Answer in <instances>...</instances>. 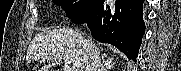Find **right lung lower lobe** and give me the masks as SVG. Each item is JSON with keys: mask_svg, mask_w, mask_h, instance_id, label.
Returning <instances> with one entry per match:
<instances>
[{"mask_svg": "<svg viewBox=\"0 0 181 71\" xmlns=\"http://www.w3.org/2000/svg\"><path fill=\"white\" fill-rule=\"evenodd\" d=\"M144 0H116L110 7L97 0L83 16L72 18L75 24L87 23L94 39L117 46L129 59L136 60L145 31L142 19Z\"/></svg>", "mask_w": 181, "mask_h": 71, "instance_id": "1", "label": "right lung lower lobe"}]
</instances>
